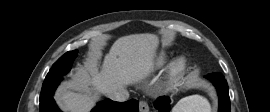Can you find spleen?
I'll return each mask as SVG.
<instances>
[{"mask_svg": "<svg viewBox=\"0 0 270 112\" xmlns=\"http://www.w3.org/2000/svg\"><path fill=\"white\" fill-rule=\"evenodd\" d=\"M172 112H211V106L203 96L192 95L181 99Z\"/></svg>", "mask_w": 270, "mask_h": 112, "instance_id": "spleen-1", "label": "spleen"}]
</instances>
